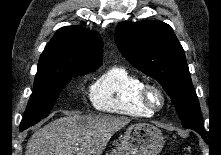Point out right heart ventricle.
<instances>
[{"label": "right heart ventricle", "instance_id": "1", "mask_svg": "<svg viewBox=\"0 0 221 155\" xmlns=\"http://www.w3.org/2000/svg\"><path fill=\"white\" fill-rule=\"evenodd\" d=\"M144 81L124 66H113L104 71L91 85L89 91L93 107L99 111L147 117L152 111L140 101Z\"/></svg>", "mask_w": 221, "mask_h": 155}]
</instances>
